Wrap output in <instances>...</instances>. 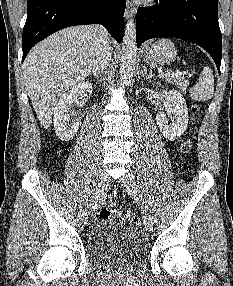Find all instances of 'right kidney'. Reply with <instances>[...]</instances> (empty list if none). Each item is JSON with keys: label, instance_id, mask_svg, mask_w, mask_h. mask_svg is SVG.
Listing matches in <instances>:
<instances>
[{"label": "right kidney", "instance_id": "right-kidney-1", "mask_svg": "<svg viewBox=\"0 0 233 286\" xmlns=\"http://www.w3.org/2000/svg\"><path fill=\"white\" fill-rule=\"evenodd\" d=\"M93 88L89 82H79L71 90L63 94L54 108V129L56 135L63 141L73 139L77 133L81 120L72 118L70 113L71 105L77 102L78 96L88 97L92 94Z\"/></svg>", "mask_w": 233, "mask_h": 286}]
</instances>
